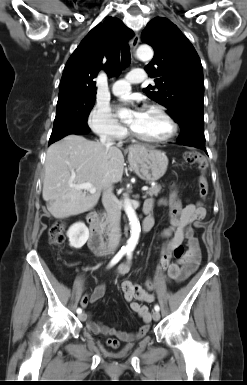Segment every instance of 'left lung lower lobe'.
Masks as SVG:
<instances>
[{"label":"left lung lower lobe","instance_id":"1","mask_svg":"<svg viewBox=\"0 0 247 385\" xmlns=\"http://www.w3.org/2000/svg\"><path fill=\"white\" fill-rule=\"evenodd\" d=\"M179 144L205 150L204 121L191 120L180 125Z\"/></svg>","mask_w":247,"mask_h":385}]
</instances>
